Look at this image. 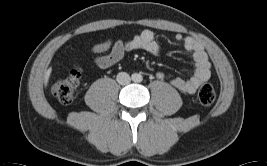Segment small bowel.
<instances>
[{
    "label": "small bowel",
    "instance_id": "obj_1",
    "mask_svg": "<svg viewBox=\"0 0 267 166\" xmlns=\"http://www.w3.org/2000/svg\"><path fill=\"white\" fill-rule=\"evenodd\" d=\"M175 41L182 43L185 49L193 56L194 71L191 77L185 79L176 77L171 84L189 94L196 92L202 82L210 76V63L203 50L202 45L192 37H185L182 34L174 36ZM144 50L152 55H159L161 46L155 40L151 30H143L129 40H105L92 46L91 51L94 54V62L100 68H109L122 60L126 52ZM157 76L161 79L165 77L163 72Z\"/></svg>",
    "mask_w": 267,
    "mask_h": 166
}]
</instances>
